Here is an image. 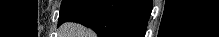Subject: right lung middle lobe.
<instances>
[{
  "label": "right lung middle lobe",
  "mask_w": 219,
  "mask_h": 37,
  "mask_svg": "<svg viewBox=\"0 0 219 37\" xmlns=\"http://www.w3.org/2000/svg\"><path fill=\"white\" fill-rule=\"evenodd\" d=\"M75 0H63L62 4H61V9L60 12L62 10H64L67 6H69L71 3H73Z\"/></svg>",
  "instance_id": "obj_1"
}]
</instances>
